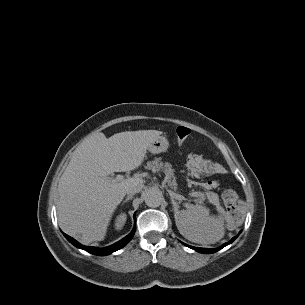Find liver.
Wrapping results in <instances>:
<instances>
[{
	"label": "liver",
	"mask_w": 305,
	"mask_h": 305,
	"mask_svg": "<svg viewBox=\"0 0 305 305\" xmlns=\"http://www.w3.org/2000/svg\"><path fill=\"white\" fill-rule=\"evenodd\" d=\"M161 131L142 130L89 135L74 151L59 185L57 214L60 227L82 243L105 238L112 215L133 185L142 184L139 177L108 181L113 172L138 168L149 145Z\"/></svg>",
	"instance_id": "6515ba94"
}]
</instances>
